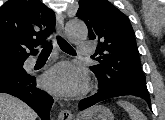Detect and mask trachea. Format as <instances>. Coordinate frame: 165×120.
<instances>
[{"mask_svg": "<svg viewBox=\"0 0 165 120\" xmlns=\"http://www.w3.org/2000/svg\"><path fill=\"white\" fill-rule=\"evenodd\" d=\"M57 42L61 48V50H63L64 52L71 54V55H75L76 51L73 49V47L67 42L65 41L62 37L57 36ZM53 46L51 44H46L43 46V49L41 51V54H50L52 51Z\"/></svg>", "mask_w": 165, "mask_h": 120, "instance_id": "trachea-1", "label": "trachea"}]
</instances>
